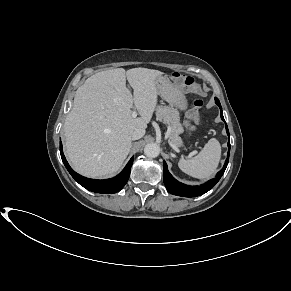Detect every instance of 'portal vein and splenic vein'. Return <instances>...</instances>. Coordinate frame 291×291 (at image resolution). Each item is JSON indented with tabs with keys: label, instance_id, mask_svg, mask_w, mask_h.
<instances>
[{
	"label": "portal vein and splenic vein",
	"instance_id": "portal-vein-and-splenic-vein-1",
	"mask_svg": "<svg viewBox=\"0 0 291 291\" xmlns=\"http://www.w3.org/2000/svg\"><path fill=\"white\" fill-rule=\"evenodd\" d=\"M137 116V111L136 110H133L132 111V117L133 118H135ZM170 143V145L173 147V148H175L173 145H172V143L171 142H169ZM176 149V148H175Z\"/></svg>",
	"mask_w": 291,
	"mask_h": 291
}]
</instances>
